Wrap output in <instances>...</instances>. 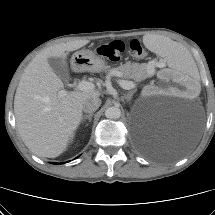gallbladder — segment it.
Returning <instances> with one entry per match:
<instances>
[{"label": "gallbladder", "instance_id": "gallbladder-1", "mask_svg": "<svg viewBox=\"0 0 215 215\" xmlns=\"http://www.w3.org/2000/svg\"><path fill=\"white\" fill-rule=\"evenodd\" d=\"M48 63L58 77H60L64 81H67L69 79L67 63L65 59L51 57V58H48Z\"/></svg>", "mask_w": 215, "mask_h": 215}]
</instances>
